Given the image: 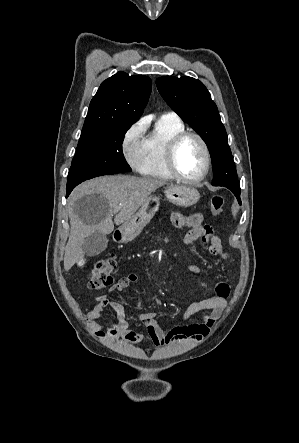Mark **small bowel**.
Segmentation results:
<instances>
[{
    "instance_id": "small-bowel-1",
    "label": "small bowel",
    "mask_w": 299,
    "mask_h": 443,
    "mask_svg": "<svg viewBox=\"0 0 299 443\" xmlns=\"http://www.w3.org/2000/svg\"><path fill=\"white\" fill-rule=\"evenodd\" d=\"M171 220L176 228H190L183 239L187 247H192L194 242L202 240L210 254L218 257L221 261L228 260L229 254L224 249L221 239L214 233L210 225L204 223L202 214L186 216L176 212L172 214ZM186 268L195 274L205 273L202 266L187 264ZM136 281L137 276L135 274H129L119 278L117 282L109 288V291L121 292ZM229 294V284L226 281H219L215 285L213 295L187 305L181 315L183 324L172 328L168 332L161 329L156 321L155 313H142L139 315V318L147 329L148 337L156 346L182 341L187 338L200 340L212 331L216 321L221 317L222 312L227 306V297ZM96 300L97 304L87 314V323L97 336L109 340L122 338L131 343H140L144 340V334L129 329L124 307L120 302L111 300L106 295H99ZM106 308L114 312L116 320L110 323L106 330H103L98 320L102 317ZM202 311H210V314L204 317L203 322L189 323V320L195 314Z\"/></svg>"
}]
</instances>
